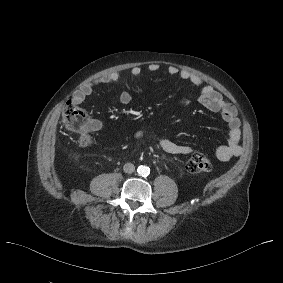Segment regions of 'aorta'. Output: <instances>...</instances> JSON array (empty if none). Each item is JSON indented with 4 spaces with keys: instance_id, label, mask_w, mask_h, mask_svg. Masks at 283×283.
I'll return each instance as SVG.
<instances>
[{
    "instance_id": "obj_1",
    "label": "aorta",
    "mask_w": 283,
    "mask_h": 283,
    "mask_svg": "<svg viewBox=\"0 0 283 283\" xmlns=\"http://www.w3.org/2000/svg\"><path fill=\"white\" fill-rule=\"evenodd\" d=\"M137 172L141 176H148L150 174V168L145 165H141L138 167Z\"/></svg>"
}]
</instances>
